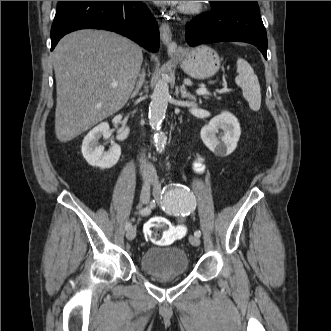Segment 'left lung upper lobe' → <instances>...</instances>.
Segmentation results:
<instances>
[{
    "label": "left lung upper lobe",
    "mask_w": 331,
    "mask_h": 331,
    "mask_svg": "<svg viewBox=\"0 0 331 331\" xmlns=\"http://www.w3.org/2000/svg\"><path fill=\"white\" fill-rule=\"evenodd\" d=\"M211 4H213V3H216V2H219V1H209Z\"/></svg>",
    "instance_id": "obj_1"
}]
</instances>
